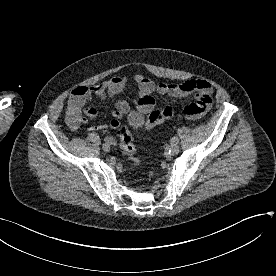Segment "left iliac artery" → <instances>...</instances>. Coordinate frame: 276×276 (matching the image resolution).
Instances as JSON below:
<instances>
[{"label": "left iliac artery", "mask_w": 276, "mask_h": 276, "mask_svg": "<svg viewBox=\"0 0 276 276\" xmlns=\"http://www.w3.org/2000/svg\"><path fill=\"white\" fill-rule=\"evenodd\" d=\"M179 143V138L177 136H174L171 138V144H178Z\"/></svg>", "instance_id": "obj_1"}]
</instances>
